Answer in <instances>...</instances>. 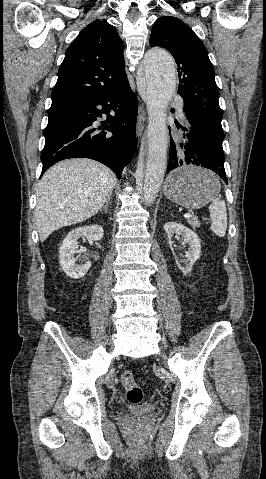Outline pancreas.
Returning <instances> with one entry per match:
<instances>
[{"label":"pancreas","instance_id":"obj_1","mask_svg":"<svg viewBox=\"0 0 266 479\" xmlns=\"http://www.w3.org/2000/svg\"><path fill=\"white\" fill-rule=\"evenodd\" d=\"M187 222L191 225L193 229L199 228L201 223L197 220L196 217L187 218Z\"/></svg>","mask_w":266,"mask_h":479}]
</instances>
